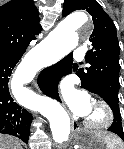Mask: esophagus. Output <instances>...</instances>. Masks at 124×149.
<instances>
[{
	"label": "esophagus",
	"instance_id": "obj_1",
	"mask_svg": "<svg viewBox=\"0 0 124 149\" xmlns=\"http://www.w3.org/2000/svg\"><path fill=\"white\" fill-rule=\"evenodd\" d=\"M72 128L73 129H75V130H78L79 129V125H78V123H76V122H72Z\"/></svg>",
	"mask_w": 124,
	"mask_h": 149
}]
</instances>
